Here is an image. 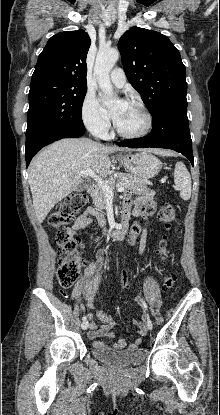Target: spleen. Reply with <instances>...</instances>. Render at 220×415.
I'll use <instances>...</instances> for the list:
<instances>
[{"label":"spleen","mask_w":220,"mask_h":415,"mask_svg":"<svg viewBox=\"0 0 220 415\" xmlns=\"http://www.w3.org/2000/svg\"><path fill=\"white\" fill-rule=\"evenodd\" d=\"M159 155H166L162 151H156ZM174 182L181 190L180 196L183 200H188L191 196V176L186 166L182 162H177L174 170Z\"/></svg>","instance_id":"3e777b00"}]
</instances>
